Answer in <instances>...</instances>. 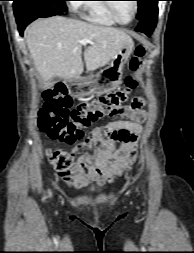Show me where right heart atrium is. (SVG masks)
<instances>
[{
  "label": "right heart atrium",
  "mask_w": 194,
  "mask_h": 253,
  "mask_svg": "<svg viewBox=\"0 0 194 253\" xmlns=\"http://www.w3.org/2000/svg\"><path fill=\"white\" fill-rule=\"evenodd\" d=\"M79 5H80L79 1H77V0L71 1V7L73 9H77L79 7Z\"/></svg>",
  "instance_id": "d8ad5b80"
}]
</instances>
